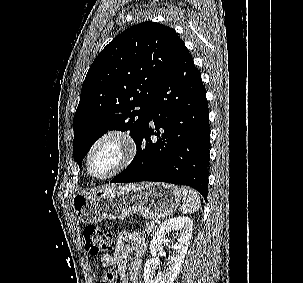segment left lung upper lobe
I'll use <instances>...</instances> for the list:
<instances>
[{"mask_svg":"<svg viewBox=\"0 0 303 283\" xmlns=\"http://www.w3.org/2000/svg\"><path fill=\"white\" fill-rule=\"evenodd\" d=\"M184 48L174 29L149 21L126 29L101 51L83 82L73 119L79 166L108 130H129L137 145L150 101Z\"/></svg>","mask_w":303,"mask_h":283,"instance_id":"1","label":"left lung upper lobe"}]
</instances>
